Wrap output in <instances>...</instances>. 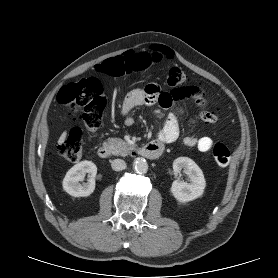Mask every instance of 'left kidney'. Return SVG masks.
<instances>
[{
	"instance_id": "5707ae66",
	"label": "left kidney",
	"mask_w": 278,
	"mask_h": 278,
	"mask_svg": "<svg viewBox=\"0 0 278 278\" xmlns=\"http://www.w3.org/2000/svg\"><path fill=\"white\" fill-rule=\"evenodd\" d=\"M173 170L178 174L183 170L189 177V183L180 179L171 186V193L179 202L186 203L201 197L206 187V181L199 166L188 157H179L173 162Z\"/></svg>"
}]
</instances>
